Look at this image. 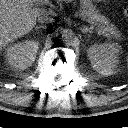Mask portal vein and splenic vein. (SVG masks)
<instances>
[{"label":"portal vein and splenic vein","instance_id":"18ae733b","mask_svg":"<svg viewBox=\"0 0 128 128\" xmlns=\"http://www.w3.org/2000/svg\"><path fill=\"white\" fill-rule=\"evenodd\" d=\"M21 2H25L29 6H43V5H50V2L48 0H20ZM72 1V0H71ZM88 23L91 21L88 19L83 18Z\"/></svg>","mask_w":128,"mask_h":128}]
</instances>
